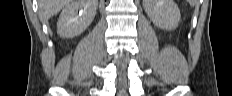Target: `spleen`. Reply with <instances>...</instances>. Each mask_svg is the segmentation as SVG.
<instances>
[{
	"label": "spleen",
	"mask_w": 232,
	"mask_h": 96,
	"mask_svg": "<svg viewBox=\"0 0 232 96\" xmlns=\"http://www.w3.org/2000/svg\"><path fill=\"white\" fill-rule=\"evenodd\" d=\"M189 3H190L191 5H194V4H195V1L190 0Z\"/></svg>",
	"instance_id": "1"
}]
</instances>
